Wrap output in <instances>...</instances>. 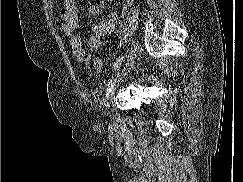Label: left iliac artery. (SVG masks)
Listing matches in <instances>:
<instances>
[{
  "label": "left iliac artery",
  "instance_id": "44dca946",
  "mask_svg": "<svg viewBox=\"0 0 243 182\" xmlns=\"http://www.w3.org/2000/svg\"><path fill=\"white\" fill-rule=\"evenodd\" d=\"M118 75H119V73H118ZM115 83H116V77H112V79L109 81V83L107 85L106 94H108L111 91V89L113 88Z\"/></svg>",
  "mask_w": 243,
  "mask_h": 182
}]
</instances>
